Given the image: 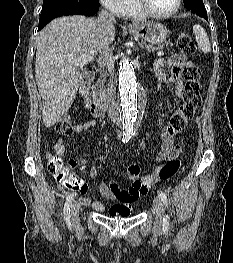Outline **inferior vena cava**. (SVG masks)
Returning a JSON list of instances; mask_svg holds the SVG:
<instances>
[{"label":"inferior vena cava","instance_id":"602c4592","mask_svg":"<svg viewBox=\"0 0 233 263\" xmlns=\"http://www.w3.org/2000/svg\"><path fill=\"white\" fill-rule=\"evenodd\" d=\"M98 22L103 27H110L111 25H113L114 22H116V20L111 13H109L106 10H102L99 13ZM110 56H111V51L109 48V44L106 43L102 50V53L99 56V60H98L100 63V69L102 71H105V68L107 64L109 63ZM106 95L109 101L108 116L109 118H111L113 122H118L119 110H118V104L116 102V90H115V84L113 82V79L111 78L109 79V82H108V88L106 91Z\"/></svg>","mask_w":233,"mask_h":263}]
</instances>
